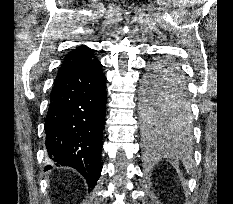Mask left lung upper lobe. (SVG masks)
<instances>
[{"instance_id": "1", "label": "left lung upper lobe", "mask_w": 233, "mask_h": 204, "mask_svg": "<svg viewBox=\"0 0 233 204\" xmlns=\"http://www.w3.org/2000/svg\"><path fill=\"white\" fill-rule=\"evenodd\" d=\"M174 63L165 60L153 65L150 74L144 79L142 92V118L145 127H166L178 131H188L192 124V112L188 100L186 82L177 88L160 83V73Z\"/></svg>"}]
</instances>
